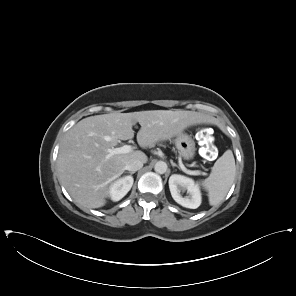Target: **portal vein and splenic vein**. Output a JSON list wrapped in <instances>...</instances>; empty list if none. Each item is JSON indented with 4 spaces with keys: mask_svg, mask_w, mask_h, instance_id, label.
Wrapping results in <instances>:
<instances>
[{
    "mask_svg": "<svg viewBox=\"0 0 296 296\" xmlns=\"http://www.w3.org/2000/svg\"><path fill=\"white\" fill-rule=\"evenodd\" d=\"M131 151H132L131 145H124V146L118 147V148H111V149L107 150V152H108L107 158H110L116 154H126ZM180 166H181L182 170L189 175H200V174L205 175L206 174V173L201 172L199 170H195V171L188 170L187 168L184 167V165L182 163L180 164Z\"/></svg>",
    "mask_w": 296,
    "mask_h": 296,
    "instance_id": "obj_1",
    "label": "portal vein and splenic vein"
}]
</instances>
